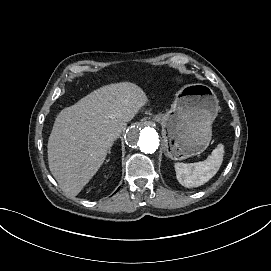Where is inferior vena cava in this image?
<instances>
[{"label": "inferior vena cava", "mask_w": 271, "mask_h": 271, "mask_svg": "<svg viewBox=\"0 0 271 271\" xmlns=\"http://www.w3.org/2000/svg\"><path fill=\"white\" fill-rule=\"evenodd\" d=\"M120 136V132H117V133H115V134H111L110 136H109V141H114V140H116L118 137Z\"/></svg>", "instance_id": "1"}]
</instances>
